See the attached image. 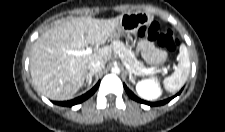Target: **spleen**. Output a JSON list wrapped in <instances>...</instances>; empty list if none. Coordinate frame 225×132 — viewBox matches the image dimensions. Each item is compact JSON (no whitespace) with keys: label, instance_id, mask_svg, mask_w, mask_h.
Masks as SVG:
<instances>
[{"label":"spleen","instance_id":"3e777b00","mask_svg":"<svg viewBox=\"0 0 225 132\" xmlns=\"http://www.w3.org/2000/svg\"><path fill=\"white\" fill-rule=\"evenodd\" d=\"M190 72V59L187 47L182 44L179 50V63L173 74L164 80L167 91L176 92L186 82Z\"/></svg>","mask_w":225,"mask_h":132}]
</instances>
